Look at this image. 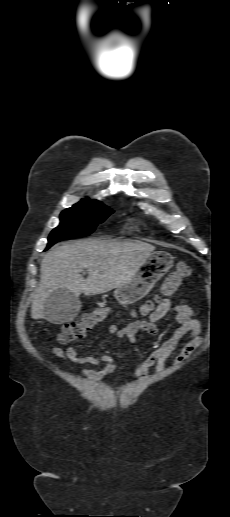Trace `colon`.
<instances>
[{
	"mask_svg": "<svg viewBox=\"0 0 230 517\" xmlns=\"http://www.w3.org/2000/svg\"><path fill=\"white\" fill-rule=\"evenodd\" d=\"M191 268L186 264H179L177 268L171 271L164 280L158 296L153 300L146 301L140 308L141 314H149L162 298L173 295L180 287L182 282L191 275ZM109 313L106 307H99L95 310L83 314L77 320H71L64 324L57 333V339L63 344L76 342L102 322Z\"/></svg>",
	"mask_w": 230,
	"mask_h": 517,
	"instance_id": "5ec220e1",
	"label": "colon"
}]
</instances>
